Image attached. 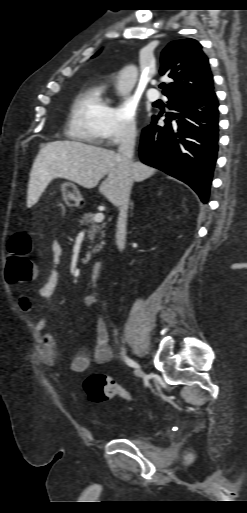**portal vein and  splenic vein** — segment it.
<instances>
[{
  "label": "portal vein and splenic vein",
  "instance_id": "1",
  "mask_svg": "<svg viewBox=\"0 0 247 513\" xmlns=\"http://www.w3.org/2000/svg\"><path fill=\"white\" fill-rule=\"evenodd\" d=\"M104 218H105L104 213L98 212V213L95 214V216L93 218V222H97V223L98 222H102L104 220Z\"/></svg>",
  "mask_w": 247,
  "mask_h": 513
}]
</instances>
